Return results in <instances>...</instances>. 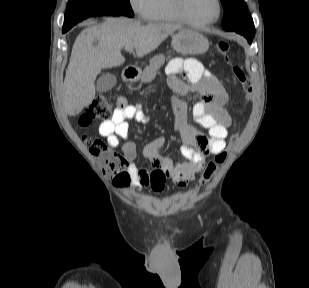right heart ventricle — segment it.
Returning <instances> with one entry per match:
<instances>
[{
  "label": "right heart ventricle",
  "mask_w": 309,
  "mask_h": 288,
  "mask_svg": "<svg viewBox=\"0 0 309 288\" xmlns=\"http://www.w3.org/2000/svg\"><path fill=\"white\" fill-rule=\"evenodd\" d=\"M145 18L154 22L182 23L175 12L173 0H150Z\"/></svg>",
  "instance_id": "obj_1"
}]
</instances>
